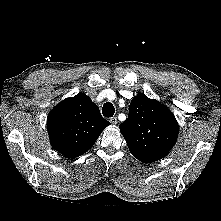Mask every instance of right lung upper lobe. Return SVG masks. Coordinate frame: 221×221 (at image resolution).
Listing matches in <instances>:
<instances>
[{
  "label": "right lung upper lobe",
  "instance_id": "cb5924a9",
  "mask_svg": "<svg viewBox=\"0 0 221 221\" xmlns=\"http://www.w3.org/2000/svg\"><path fill=\"white\" fill-rule=\"evenodd\" d=\"M109 125L84 93L63 100L47 117L51 145L67 157H78L88 151Z\"/></svg>",
  "mask_w": 221,
  "mask_h": 221
}]
</instances>
